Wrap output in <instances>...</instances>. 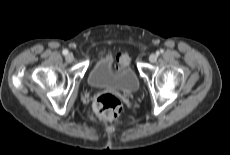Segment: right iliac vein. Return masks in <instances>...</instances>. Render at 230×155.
Returning a JSON list of instances; mask_svg holds the SVG:
<instances>
[{"instance_id": "obj_1", "label": "right iliac vein", "mask_w": 230, "mask_h": 155, "mask_svg": "<svg viewBox=\"0 0 230 155\" xmlns=\"http://www.w3.org/2000/svg\"><path fill=\"white\" fill-rule=\"evenodd\" d=\"M73 60H74V56L72 53H69L66 55V61L67 62L71 63V62H73Z\"/></svg>"}]
</instances>
